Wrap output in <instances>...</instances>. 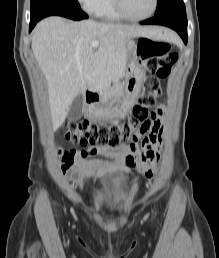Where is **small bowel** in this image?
<instances>
[{"instance_id":"small-bowel-1","label":"small bowel","mask_w":219,"mask_h":258,"mask_svg":"<svg viewBox=\"0 0 219 258\" xmlns=\"http://www.w3.org/2000/svg\"><path fill=\"white\" fill-rule=\"evenodd\" d=\"M165 113V106H158L153 112L152 121L145 125L129 144L117 148L98 147L91 149L92 154L101 155L105 159L95 160L91 163H86L80 159L76 160L69 166L70 182L83 189L84 178L94 180L106 174L118 171L131 172L134 169H139L148 178H153L152 166L159 159ZM142 137V146L139 148L138 141ZM86 154V152H82L81 157H85Z\"/></svg>"}]
</instances>
